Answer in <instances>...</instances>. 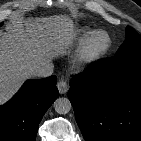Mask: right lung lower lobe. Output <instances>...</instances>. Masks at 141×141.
Segmentation results:
<instances>
[{"instance_id": "1", "label": "right lung lower lobe", "mask_w": 141, "mask_h": 141, "mask_svg": "<svg viewBox=\"0 0 141 141\" xmlns=\"http://www.w3.org/2000/svg\"><path fill=\"white\" fill-rule=\"evenodd\" d=\"M56 83L55 75L28 80L0 106V141H35L43 115L59 96Z\"/></svg>"}]
</instances>
